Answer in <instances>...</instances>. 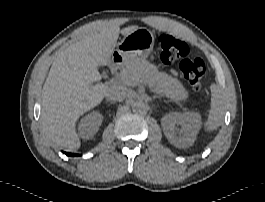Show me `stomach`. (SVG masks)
I'll return each mask as SVG.
<instances>
[{
	"label": "stomach",
	"mask_w": 265,
	"mask_h": 202,
	"mask_svg": "<svg viewBox=\"0 0 265 202\" xmlns=\"http://www.w3.org/2000/svg\"><path fill=\"white\" fill-rule=\"evenodd\" d=\"M155 36L152 31L146 28H138L117 44L116 52L124 60H144L153 50Z\"/></svg>",
	"instance_id": "obj_1"
}]
</instances>
